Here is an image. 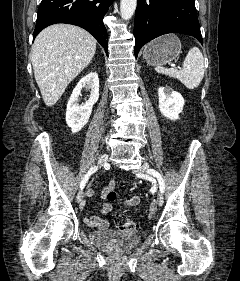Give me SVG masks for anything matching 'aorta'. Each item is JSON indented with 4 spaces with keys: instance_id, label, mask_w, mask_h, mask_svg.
<instances>
[{
    "instance_id": "obj_1",
    "label": "aorta",
    "mask_w": 240,
    "mask_h": 281,
    "mask_svg": "<svg viewBox=\"0 0 240 281\" xmlns=\"http://www.w3.org/2000/svg\"><path fill=\"white\" fill-rule=\"evenodd\" d=\"M137 0H121L120 2V13L124 20H129L136 9Z\"/></svg>"
}]
</instances>
